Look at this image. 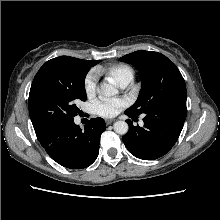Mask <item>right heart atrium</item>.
I'll return each instance as SVG.
<instances>
[{
	"mask_svg": "<svg viewBox=\"0 0 220 220\" xmlns=\"http://www.w3.org/2000/svg\"><path fill=\"white\" fill-rule=\"evenodd\" d=\"M84 91L87 97H92L96 92V78L88 75L84 80Z\"/></svg>",
	"mask_w": 220,
	"mask_h": 220,
	"instance_id": "d8ad5b80",
	"label": "right heart atrium"
}]
</instances>
